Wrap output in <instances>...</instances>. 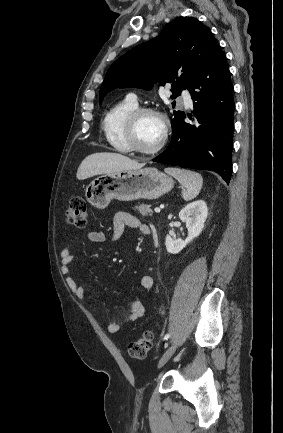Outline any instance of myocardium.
Masks as SVG:
<instances>
[{"instance_id": "1", "label": "myocardium", "mask_w": 283, "mask_h": 433, "mask_svg": "<svg viewBox=\"0 0 283 433\" xmlns=\"http://www.w3.org/2000/svg\"><path fill=\"white\" fill-rule=\"evenodd\" d=\"M152 114L161 119L163 123V131L161 135V139L154 150L148 151L140 147V144L137 141V127L140 119L147 115ZM170 130V121L168 117L159 109L155 107H138L134 111H132L128 117L126 118L123 136L126 144L128 145L130 151L136 153L141 157H156L162 154L166 148V142L168 138V133Z\"/></svg>"}]
</instances>
